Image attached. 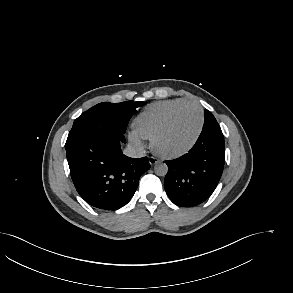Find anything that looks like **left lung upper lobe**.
Here are the masks:
<instances>
[{"label":"left lung upper lobe","mask_w":293,"mask_h":293,"mask_svg":"<svg viewBox=\"0 0 293 293\" xmlns=\"http://www.w3.org/2000/svg\"><path fill=\"white\" fill-rule=\"evenodd\" d=\"M204 115H205V122L203 127H206L210 124H218L213 114L207 109H205Z\"/></svg>","instance_id":"obj_1"}]
</instances>
